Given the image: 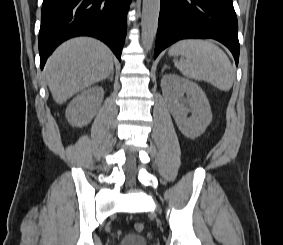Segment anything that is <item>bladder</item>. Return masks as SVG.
<instances>
[{
	"label": "bladder",
	"instance_id": "obj_1",
	"mask_svg": "<svg viewBox=\"0 0 283 245\" xmlns=\"http://www.w3.org/2000/svg\"><path fill=\"white\" fill-rule=\"evenodd\" d=\"M148 241L144 235L129 234L122 238L118 245H147Z\"/></svg>",
	"mask_w": 283,
	"mask_h": 245
}]
</instances>
